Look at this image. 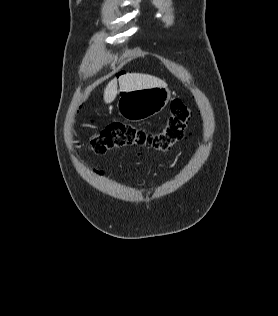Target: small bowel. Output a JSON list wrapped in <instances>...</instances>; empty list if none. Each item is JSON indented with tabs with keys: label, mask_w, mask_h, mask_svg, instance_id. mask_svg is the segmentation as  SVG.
I'll list each match as a JSON object with an SVG mask.
<instances>
[{
	"label": "small bowel",
	"mask_w": 278,
	"mask_h": 316,
	"mask_svg": "<svg viewBox=\"0 0 278 316\" xmlns=\"http://www.w3.org/2000/svg\"><path fill=\"white\" fill-rule=\"evenodd\" d=\"M107 171V167L105 166H99L97 167V172H100V173H104Z\"/></svg>",
	"instance_id": "1"
}]
</instances>
